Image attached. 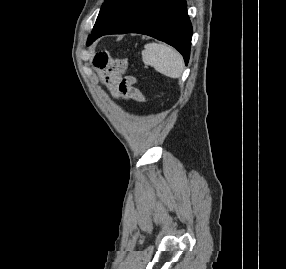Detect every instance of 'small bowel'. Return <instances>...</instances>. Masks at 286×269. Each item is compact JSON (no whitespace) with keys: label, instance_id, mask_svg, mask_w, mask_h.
Listing matches in <instances>:
<instances>
[{"label":"small bowel","instance_id":"small-bowel-1","mask_svg":"<svg viewBox=\"0 0 286 269\" xmlns=\"http://www.w3.org/2000/svg\"><path fill=\"white\" fill-rule=\"evenodd\" d=\"M94 65L99 81L105 84L116 98H124L122 95L124 88H121L122 70L115 69L116 64L109 59L107 54H97Z\"/></svg>","mask_w":286,"mask_h":269}]
</instances>
